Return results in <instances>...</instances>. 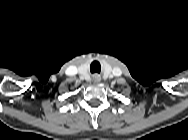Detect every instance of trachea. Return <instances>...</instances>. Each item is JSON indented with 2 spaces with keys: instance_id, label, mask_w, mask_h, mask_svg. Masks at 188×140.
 <instances>
[{
  "instance_id": "trachea-1",
  "label": "trachea",
  "mask_w": 188,
  "mask_h": 140,
  "mask_svg": "<svg viewBox=\"0 0 188 140\" xmlns=\"http://www.w3.org/2000/svg\"><path fill=\"white\" fill-rule=\"evenodd\" d=\"M101 65L98 61H93L90 65V72L91 73H100Z\"/></svg>"
}]
</instances>
